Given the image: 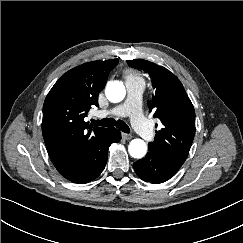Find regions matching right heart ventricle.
<instances>
[{"instance_id":"1","label":"right heart ventricle","mask_w":243,"mask_h":243,"mask_svg":"<svg viewBox=\"0 0 243 243\" xmlns=\"http://www.w3.org/2000/svg\"><path fill=\"white\" fill-rule=\"evenodd\" d=\"M124 74H125L126 81L128 80L142 81L141 76L138 73L134 72L133 70L126 69Z\"/></svg>"}]
</instances>
